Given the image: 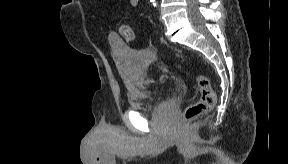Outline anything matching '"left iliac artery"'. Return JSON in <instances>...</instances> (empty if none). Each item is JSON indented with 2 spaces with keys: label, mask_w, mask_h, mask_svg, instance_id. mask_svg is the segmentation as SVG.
<instances>
[{
  "label": "left iliac artery",
  "mask_w": 288,
  "mask_h": 164,
  "mask_svg": "<svg viewBox=\"0 0 288 164\" xmlns=\"http://www.w3.org/2000/svg\"><path fill=\"white\" fill-rule=\"evenodd\" d=\"M150 3H152V5L154 6V7H156V2H155V0H150Z\"/></svg>",
  "instance_id": "left-iliac-artery-1"
}]
</instances>
